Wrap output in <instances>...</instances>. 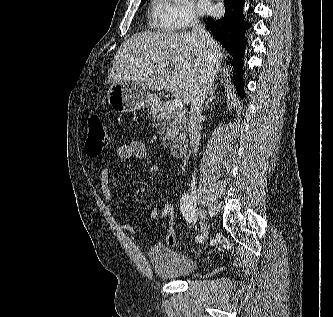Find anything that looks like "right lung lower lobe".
Here are the masks:
<instances>
[{
	"instance_id": "1",
	"label": "right lung lower lobe",
	"mask_w": 333,
	"mask_h": 317,
	"mask_svg": "<svg viewBox=\"0 0 333 317\" xmlns=\"http://www.w3.org/2000/svg\"><path fill=\"white\" fill-rule=\"evenodd\" d=\"M245 0H225V16L221 19L208 18L206 28L211 31L214 38L234 57L232 66L236 70L233 76L236 89L244 96L242 58L245 53L246 40L244 33L250 27L246 23L242 26L244 16L242 8Z\"/></svg>"
}]
</instances>
